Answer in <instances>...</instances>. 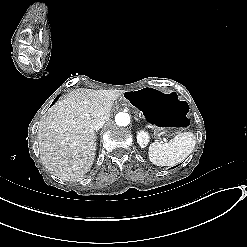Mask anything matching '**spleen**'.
I'll list each match as a JSON object with an SVG mask.
<instances>
[{
    "instance_id": "1",
    "label": "spleen",
    "mask_w": 247,
    "mask_h": 247,
    "mask_svg": "<svg viewBox=\"0 0 247 247\" xmlns=\"http://www.w3.org/2000/svg\"><path fill=\"white\" fill-rule=\"evenodd\" d=\"M195 145V133H179L167 143H152L148 148V157L149 160L157 166L176 165L190 155L195 148Z\"/></svg>"
}]
</instances>
